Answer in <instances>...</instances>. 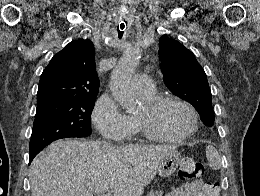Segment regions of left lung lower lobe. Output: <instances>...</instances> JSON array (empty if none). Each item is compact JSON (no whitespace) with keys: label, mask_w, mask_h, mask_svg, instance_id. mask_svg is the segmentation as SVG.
I'll use <instances>...</instances> for the list:
<instances>
[{"label":"left lung lower lobe","mask_w":260,"mask_h":196,"mask_svg":"<svg viewBox=\"0 0 260 196\" xmlns=\"http://www.w3.org/2000/svg\"><path fill=\"white\" fill-rule=\"evenodd\" d=\"M202 120H203V122H204L205 124L208 123V120H206V119H202Z\"/></svg>","instance_id":"obj_1"}]
</instances>
